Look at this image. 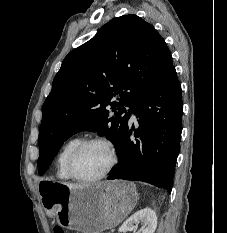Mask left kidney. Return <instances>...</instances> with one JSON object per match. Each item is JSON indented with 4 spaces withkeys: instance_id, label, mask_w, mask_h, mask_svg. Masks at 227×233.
<instances>
[{
    "instance_id": "left-kidney-1",
    "label": "left kidney",
    "mask_w": 227,
    "mask_h": 233,
    "mask_svg": "<svg viewBox=\"0 0 227 233\" xmlns=\"http://www.w3.org/2000/svg\"><path fill=\"white\" fill-rule=\"evenodd\" d=\"M141 222L144 225L142 233H154L157 227V216L156 213L150 208H144L130 218H128L122 226L119 228V232L134 231V224Z\"/></svg>"
}]
</instances>
